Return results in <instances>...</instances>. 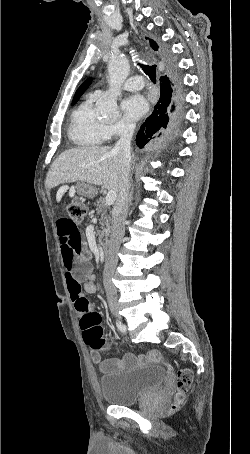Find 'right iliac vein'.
Instances as JSON below:
<instances>
[{"label":"right iliac vein","mask_w":250,"mask_h":454,"mask_svg":"<svg viewBox=\"0 0 250 454\" xmlns=\"http://www.w3.org/2000/svg\"><path fill=\"white\" fill-rule=\"evenodd\" d=\"M112 311H113L114 314H117V309L116 308H114Z\"/></svg>","instance_id":"63e3f726"}]
</instances>
